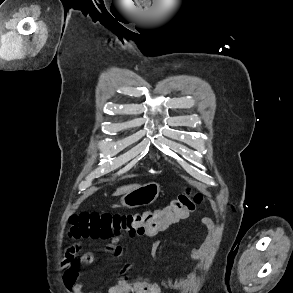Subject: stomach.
I'll return each instance as SVG.
<instances>
[{
    "label": "stomach",
    "instance_id": "0dacf381",
    "mask_svg": "<svg viewBox=\"0 0 293 293\" xmlns=\"http://www.w3.org/2000/svg\"><path fill=\"white\" fill-rule=\"evenodd\" d=\"M160 185L155 182L139 186L136 189L125 193L120 202L127 208H136L152 204L159 196Z\"/></svg>",
    "mask_w": 293,
    "mask_h": 293
}]
</instances>
